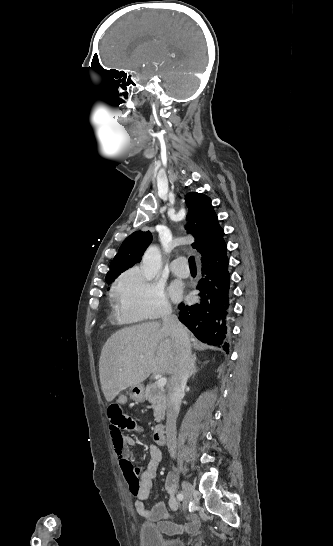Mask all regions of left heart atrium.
<instances>
[{
	"mask_svg": "<svg viewBox=\"0 0 333 546\" xmlns=\"http://www.w3.org/2000/svg\"><path fill=\"white\" fill-rule=\"evenodd\" d=\"M170 293L174 299H179L181 296V287L177 284L172 285Z\"/></svg>",
	"mask_w": 333,
	"mask_h": 546,
	"instance_id": "obj_1",
	"label": "left heart atrium"
}]
</instances>
